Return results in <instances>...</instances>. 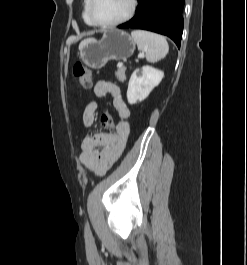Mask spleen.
<instances>
[{
    "instance_id": "obj_1",
    "label": "spleen",
    "mask_w": 247,
    "mask_h": 265,
    "mask_svg": "<svg viewBox=\"0 0 247 265\" xmlns=\"http://www.w3.org/2000/svg\"><path fill=\"white\" fill-rule=\"evenodd\" d=\"M131 36L137 44L138 50L145 52L149 62L159 61L169 51L168 43L162 35L144 30H134L131 32Z\"/></svg>"
}]
</instances>
